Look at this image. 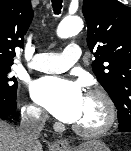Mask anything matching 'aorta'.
<instances>
[{"instance_id": "obj_1", "label": "aorta", "mask_w": 131, "mask_h": 151, "mask_svg": "<svg viewBox=\"0 0 131 151\" xmlns=\"http://www.w3.org/2000/svg\"><path fill=\"white\" fill-rule=\"evenodd\" d=\"M83 28V21L77 16L64 18L57 28V35L60 38H68L79 33Z\"/></svg>"}]
</instances>
